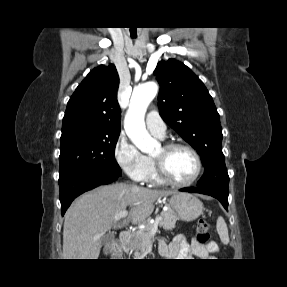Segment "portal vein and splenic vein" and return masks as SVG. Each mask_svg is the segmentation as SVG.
<instances>
[{
    "label": "portal vein and splenic vein",
    "instance_id": "portal-vein-and-splenic-vein-1",
    "mask_svg": "<svg viewBox=\"0 0 287 287\" xmlns=\"http://www.w3.org/2000/svg\"><path fill=\"white\" fill-rule=\"evenodd\" d=\"M127 215H128V212H127L126 210H125V211H122V212H120V213H118V214H116V215L114 216V220H115V221H118V220H120L121 218L126 217ZM161 220H162V217H161V216H158V217L155 219L154 224H153V226H152V228H151V234H152V235H154V234L156 233L157 228H158V225L160 224Z\"/></svg>",
    "mask_w": 287,
    "mask_h": 287
}]
</instances>
